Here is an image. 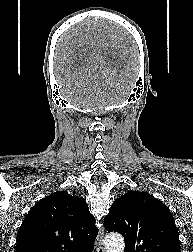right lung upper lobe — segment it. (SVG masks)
<instances>
[{
	"mask_svg": "<svg viewBox=\"0 0 193 252\" xmlns=\"http://www.w3.org/2000/svg\"><path fill=\"white\" fill-rule=\"evenodd\" d=\"M98 228L83 198L54 192L26 215L16 252H92Z\"/></svg>",
	"mask_w": 193,
	"mask_h": 252,
	"instance_id": "1",
	"label": "right lung upper lobe"
}]
</instances>
